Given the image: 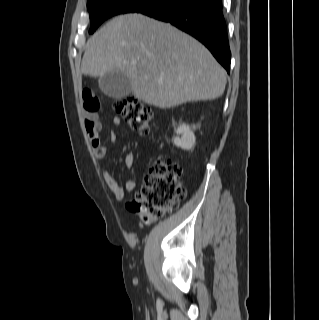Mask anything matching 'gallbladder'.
Listing matches in <instances>:
<instances>
[{"instance_id":"gallbladder-1","label":"gallbladder","mask_w":319,"mask_h":320,"mask_svg":"<svg viewBox=\"0 0 319 320\" xmlns=\"http://www.w3.org/2000/svg\"><path fill=\"white\" fill-rule=\"evenodd\" d=\"M100 90L110 98H122L131 94L129 77L121 71H111L99 78Z\"/></svg>"}]
</instances>
